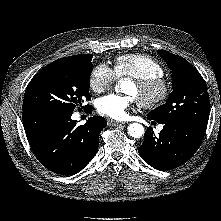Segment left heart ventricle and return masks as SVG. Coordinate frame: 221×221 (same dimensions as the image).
<instances>
[{
  "mask_svg": "<svg viewBox=\"0 0 221 221\" xmlns=\"http://www.w3.org/2000/svg\"><path fill=\"white\" fill-rule=\"evenodd\" d=\"M127 93L130 94V95H132V96H135V97L137 96V94H138V88H137V86H136L135 83H133V84L128 88Z\"/></svg>",
  "mask_w": 221,
  "mask_h": 221,
  "instance_id": "1",
  "label": "left heart ventricle"
}]
</instances>
